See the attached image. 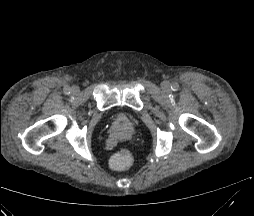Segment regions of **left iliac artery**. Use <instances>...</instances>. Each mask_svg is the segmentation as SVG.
<instances>
[{
  "mask_svg": "<svg viewBox=\"0 0 254 216\" xmlns=\"http://www.w3.org/2000/svg\"><path fill=\"white\" fill-rule=\"evenodd\" d=\"M171 89L173 91H177L179 89V85L177 83H173L172 86H171Z\"/></svg>",
  "mask_w": 254,
  "mask_h": 216,
  "instance_id": "44dca946",
  "label": "left iliac artery"
}]
</instances>
